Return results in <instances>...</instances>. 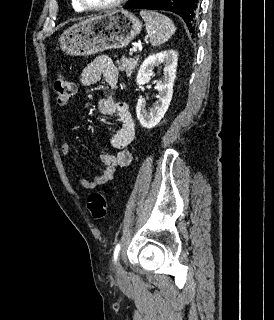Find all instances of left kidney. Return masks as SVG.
<instances>
[{
    "instance_id": "1",
    "label": "left kidney",
    "mask_w": 274,
    "mask_h": 320,
    "mask_svg": "<svg viewBox=\"0 0 274 320\" xmlns=\"http://www.w3.org/2000/svg\"><path fill=\"white\" fill-rule=\"evenodd\" d=\"M178 54L175 50H165V52H159V54H152L144 60L140 70L137 74L136 84L137 86H144L148 84L153 76L155 66L163 64V78L160 82H157L155 90L158 94L156 96L157 102L153 104L152 108L147 110L145 100H139L136 106L137 118L143 126V128H155L159 124L160 120L164 118L173 94V84L176 78L177 70V58Z\"/></svg>"
}]
</instances>
